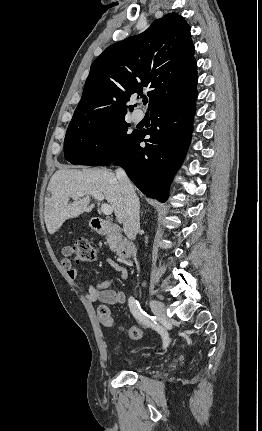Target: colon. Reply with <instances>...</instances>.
<instances>
[{
    "label": "colon",
    "instance_id": "5ec220e1",
    "mask_svg": "<svg viewBox=\"0 0 262 431\" xmlns=\"http://www.w3.org/2000/svg\"><path fill=\"white\" fill-rule=\"evenodd\" d=\"M62 253L67 258H73L77 263H86L95 259L97 249L87 239H78L66 244L62 249ZM99 317L105 327L112 328L114 326L113 318L107 310L100 311ZM127 334L132 340H140L144 336V331L139 327L132 326L127 329Z\"/></svg>",
    "mask_w": 262,
    "mask_h": 431
}]
</instances>
